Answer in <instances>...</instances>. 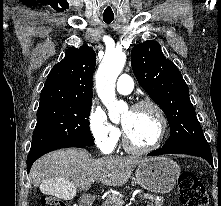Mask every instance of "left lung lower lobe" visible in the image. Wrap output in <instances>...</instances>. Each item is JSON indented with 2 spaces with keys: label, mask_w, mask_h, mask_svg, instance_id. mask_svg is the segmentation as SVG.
Here are the masks:
<instances>
[{
  "label": "left lung lower lobe",
  "mask_w": 221,
  "mask_h": 206,
  "mask_svg": "<svg viewBox=\"0 0 221 206\" xmlns=\"http://www.w3.org/2000/svg\"><path fill=\"white\" fill-rule=\"evenodd\" d=\"M188 154L206 159L209 164L213 167V159L210 148H195V147H185V148H164L152 151L148 156H156L163 154Z\"/></svg>",
  "instance_id": "left-lung-lower-lobe-1"
}]
</instances>
